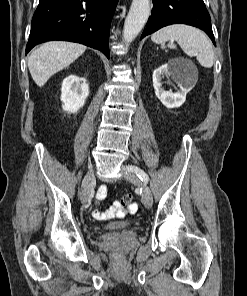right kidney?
<instances>
[{"instance_id":"right-kidney-1","label":"right kidney","mask_w":247,"mask_h":296,"mask_svg":"<svg viewBox=\"0 0 247 296\" xmlns=\"http://www.w3.org/2000/svg\"><path fill=\"white\" fill-rule=\"evenodd\" d=\"M89 95V86L86 79L69 75L63 80L61 101L62 108L69 113H76L84 106Z\"/></svg>"}]
</instances>
